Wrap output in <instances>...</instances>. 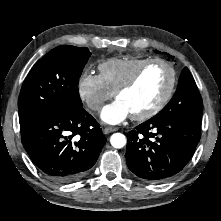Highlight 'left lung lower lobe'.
I'll return each instance as SVG.
<instances>
[{
    "label": "left lung lower lobe",
    "instance_id": "0a47b994",
    "mask_svg": "<svg viewBox=\"0 0 221 221\" xmlns=\"http://www.w3.org/2000/svg\"><path fill=\"white\" fill-rule=\"evenodd\" d=\"M200 137L201 125L159 112L128 132L126 164L141 179L166 181L190 161Z\"/></svg>",
    "mask_w": 221,
    "mask_h": 221
}]
</instances>
